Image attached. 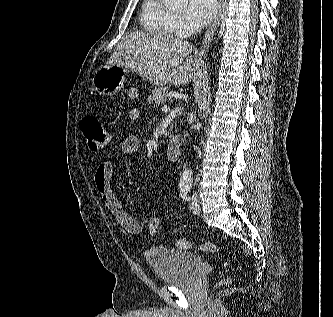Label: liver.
<instances>
[{
    "label": "liver",
    "mask_w": 333,
    "mask_h": 317,
    "mask_svg": "<svg viewBox=\"0 0 333 317\" xmlns=\"http://www.w3.org/2000/svg\"><path fill=\"white\" fill-rule=\"evenodd\" d=\"M192 51L193 45L180 37L136 31L117 44L107 65L133 69L157 86L186 85L206 75L202 57Z\"/></svg>",
    "instance_id": "obj_1"
}]
</instances>
